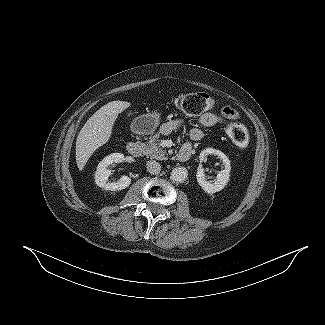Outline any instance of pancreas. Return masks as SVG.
<instances>
[{
	"mask_svg": "<svg viewBox=\"0 0 325 325\" xmlns=\"http://www.w3.org/2000/svg\"><path fill=\"white\" fill-rule=\"evenodd\" d=\"M159 137V134H155L150 138L148 143L144 145V154L152 159L164 160L166 159V151L161 147Z\"/></svg>",
	"mask_w": 325,
	"mask_h": 325,
	"instance_id": "1",
	"label": "pancreas"
}]
</instances>
